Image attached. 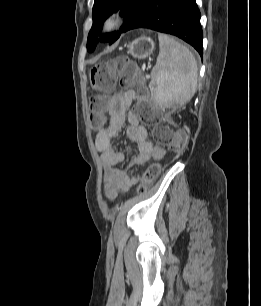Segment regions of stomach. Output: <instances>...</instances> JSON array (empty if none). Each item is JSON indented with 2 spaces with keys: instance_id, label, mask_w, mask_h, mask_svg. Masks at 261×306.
<instances>
[{
  "instance_id": "1",
  "label": "stomach",
  "mask_w": 261,
  "mask_h": 306,
  "mask_svg": "<svg viewBox=\"0 0 261 306\" xmlns=\"http://www.w3.org/2000/svg\"><path fill=\"white\" fill-rule=\"evenodd\" d=\"M154 42L148 37H139L128 45V54L134 58L145 59L153 53Z\"/></svg>"
}]
</instances>
